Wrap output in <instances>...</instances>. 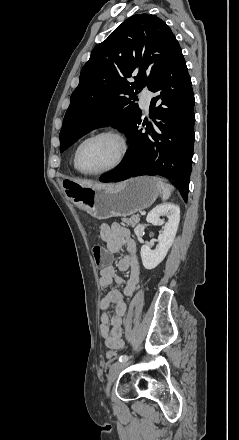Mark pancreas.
Segmentation results:
<instances>
[{"instance_id":"pancreas-1","label":"pancreas","mask_w":239,"mask_h":440,"mask_svg":"<svg viewBox=\"0 0 239 440\" xmlns=\"http://www.w3.org/2000/svg\"><path fill=\"white\" fill-rule=\"evenodd\" d=\"M122 222H125L127 226H131V228H135L136 224L140 222V216H131V218H121Z\"/></svg>"}]
</instances>
